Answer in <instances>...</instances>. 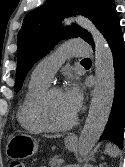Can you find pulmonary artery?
I'll return each mask as SVG.
<instances>
[{
  "mask_svg": "<svg viewBox=\"0 0 125 167\" xmlns=\"http://www.w3.org/2000/svg\"><path fill=\"white\" fill-rule=\"evenodd\" d=\"M90 54L91 51L86 41L82 39L71 40L38 62L32 72V77L50 84L55 73L67 58H86Z\"/></svg>",
  "mask_w": 125,
  "mask_h": 167,
  "instance_id": "obj_1",
  "label": "pulmonary artery"
}]
</instances>
